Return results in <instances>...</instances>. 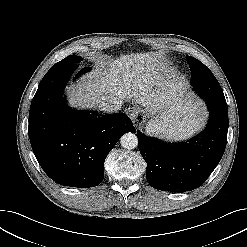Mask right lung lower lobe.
<instances>
[{
  "label": "right lung lower lobe",
  "mask_w": 247,
  "mask_h": 247,
  "mask_svg": "<svg viewBox=\"0 0 247 247\" xmlns=\"http://www.w3.org/2000/svg\"><path fill=\"white\" fill-rule=\"evenodd\" d=\"M74 71H48L43 77L31 103L28 131L37 161L52 180L88 188L103 181L104 161L120 137L136 130L124 113L101 116L69 108L63 90Z\"/></svg>",
  "instance_id": "right-lung-lower-lobe-1"
}]
</instances>
